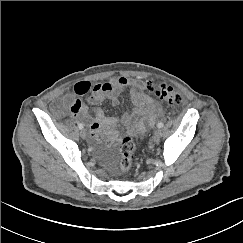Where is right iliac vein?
Masks as SVG:
<instances>
[{
    "label": "right iliac vein",
    "instance_id": "1",
    "mask_svg": "<svg viewBox=\"0 0 243 243\" xmlns=\"http://www.w3.org/2000/svg\"><path fill=\"white\" fill-rule=\"evenodd\" d=\"M80 136L83 138V139H86L87 138V132L85 130H81L80 132Z\"/></svg>",
    "mask_w": 243,
    "mask_h": 243
}]
</instances>
